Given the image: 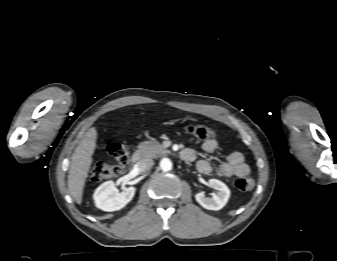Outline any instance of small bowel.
I'll return each mask as SVG.
<instances>
[{
    "mask_svg": "<svg viewBox=\"0 0 337 261\" xmlns=\"http://www.w3.org/2000/svg\"><path fill=\"white\" fill-rule=\"evenodd\" d=\"M217 141L215 139L206 140L202 144V149L211 154L217 149ZM182 158L186 161H195L197 159V151L194 148H187L183 150L181 154ZM197 170L202 174H213L216 173L221 177H243L249 174L250 169L246 163L245 157L242 153L238 151L231 152L226 162L213 165L208 160L202 159L197 161Z\"/></svg>",
    "mask_w": 337,
    "mask_h": 261,
    "instance_id": "c3829d8e",
    "label": "small bowel"
}]
</instances>
